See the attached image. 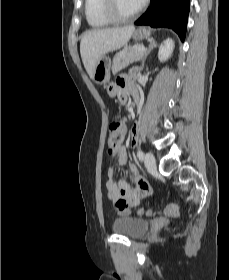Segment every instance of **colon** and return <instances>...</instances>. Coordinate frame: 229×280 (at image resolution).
<instances>
[{"label":"colon","mask_w":229,"mask_h":280,"mask_svg":"<svg viewBox=\"0 0 229 280\" xmlns=\"http://www.w3.org/2000/svg\"><path fill=\"white\" fill-rule=\"evenodd\" d=\"M125 135V126L122 120H115L109 127V135L107 137V155H111L115 149L120 145ZM133 203V198L120 199L116 201V205L119 207H128ZM140 212H142L140 210ZM165 213H174V208L169 207L165 210Z\"/></svg>","instance_id":"1"}]
</instances>
